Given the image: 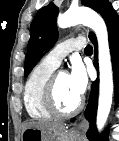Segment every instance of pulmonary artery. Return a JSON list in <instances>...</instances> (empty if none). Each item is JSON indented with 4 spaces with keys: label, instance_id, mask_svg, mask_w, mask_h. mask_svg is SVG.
I'll return each mask as SVG.
<instances>
[{
    "label": "pulmonary artery",
    "instance_id": "obj_1",
    "mask_svg": "<svg viewBox=\"0 0 119 141\" xmlns=\"http://www.w3.org/2000/svg\"><path fill=\"white\" fill-rule=\"evenodd\" d=\"M81 38H69L59 43L44 58V61L52 66L58 67L62 60L73 50H79L84 46Z\"/></svg>",
    "mask_w": 119,
    "mask_h": 141
}]
</instances>
